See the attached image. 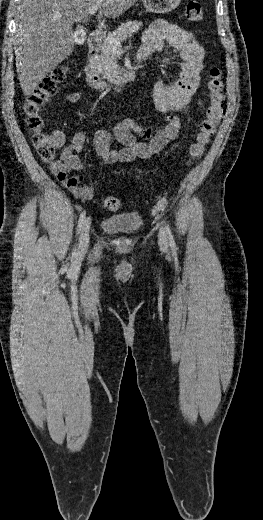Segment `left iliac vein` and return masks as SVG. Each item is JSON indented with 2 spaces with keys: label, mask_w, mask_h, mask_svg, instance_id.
<instances>
[{
  "label": "left iliac vein",
  "mask_w": 263,
  "mask_h": 520,
  "mask_svg": "<svg viewBox=\"0 0 263 520\" xmlns=\"http://www.w3.org/2000/svg\"><path fill=\"white\" fill-rule=\"evenodd\" d=\"M159 243L163 246H167L168 244L167 235L163 228L159 230Z\"/></svg>",
  "instance_id": "obj_1"
}]
</instances>
